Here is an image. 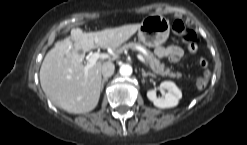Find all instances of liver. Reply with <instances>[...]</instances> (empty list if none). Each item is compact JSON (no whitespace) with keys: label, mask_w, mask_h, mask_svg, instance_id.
Masks as SVG:
<instances>
[{"label":"liver","mask_w":247,"mask_h":145,"mask_svg":"<svg viewBox=\"0 0 247 145\" xmlns=\"http://www.w3.org/2000/svg\"><path fill=\"white\" fill-rule=\"evenodd\" d=\"M141 24H129L97 32L83 33L73 29L71 35L57 41L46 54L40 68V83L52 103L74 114L92 111L101 92L102 61H97L85 74L84 54L89 50L117 48L136 33Z\"/></svg>","instance_id":"liver-1"}]
</instances>
